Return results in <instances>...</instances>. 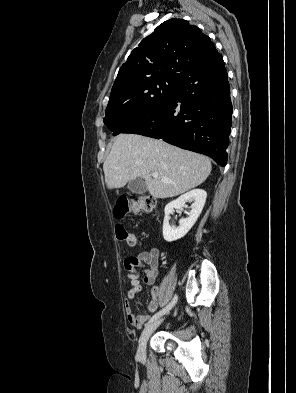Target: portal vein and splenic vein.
Returning <instances> with one entry per match:
<instances>
[{"instance_id": "portal-vein-and-splenic-vein-1", "label": "portal vein and splenic vein", "mask_w": 296, "mask_h": 393, "mask_svg": "<svg viewBox=\"0 0 296 393\" xmlns=\"http://www.w3.org/2000/svg\"><path fill=\"white\" fill-rule=\"evenodd\" d=\"M151 175H152L153 178H158L159 177L157 173H152ZM162 181H164L166 183H169V181L167 179H162Z\"/></svg>"}]
</instances>
